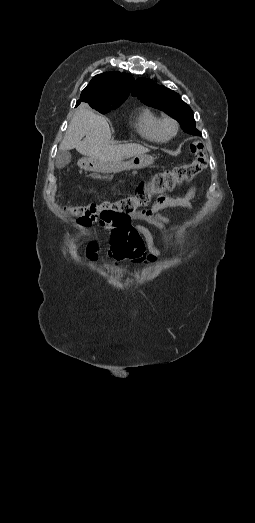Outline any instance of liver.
Here are the masks:
<instances>
[{"mask_svg": "<svg viewBox=\"0 0 255 523\" xmlns=\"http://www.w3.org/2000/svg\"><path fill=\"white\" fill-rule=\"evenodd\" d=\"M110 140L111 130L107 120L103 116L94 114L92 110L78 108L68 126L59 150H74L76 148L79 154L88 156L90 160H97L99 164H102L105 174L121 170V160H124V158L143 156V154L149 152L148 148H144L140 144L111 146Z\"/></svg>", "mask_w": 255, "mask_h": 523, "instance_id": "1", "label": "liver"}]
</instances>
